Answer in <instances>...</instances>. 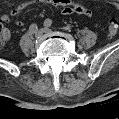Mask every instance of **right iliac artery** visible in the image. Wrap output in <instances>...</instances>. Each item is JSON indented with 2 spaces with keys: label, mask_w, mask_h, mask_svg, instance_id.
Here are the masks:
<instances>
[{
  "label": "right iliac artery",
  "mask_w": 119,
  "mask_h": 119,
  "mask_svg": "<svg viewBox=\"0 0 119 119\" xmlns=\"http://www.w3.org/2000/svg\"><path fill=\"white\" fill-rule=\"evenodd\" d=\"M38 30V26L36 24H31L29 27V31L31 33H35Z\"/></svg>",
  "instance_id": "82829eb1"
}]
</instances>
